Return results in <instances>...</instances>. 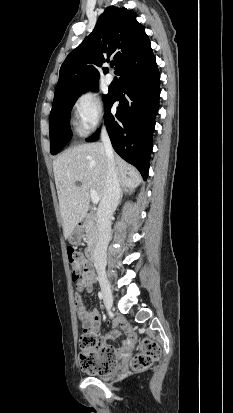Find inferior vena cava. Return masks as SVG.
Masks as SVG:
<instances>
[{
	"label": "inferior vena cava",
	"instance_id": "obj_1",
	"mask_svg": "<svg viewBox=\"0 0 233 413\" xmlns=\"http://www.w3.org/2000/svg\"><path fill=\"white\" fill-rule=\"evenodd\" d=\"M101 140L107 156V171L104 193L100 201L97 218L99 238L94 249V267L98 274L105 273L106 251L111 238V218L115 212L121 194V188L114 162V152L106 128L101 131Z\"/></svg>",
	"mask_w": 233,
	"mask_h": 413
}]
</instances>
